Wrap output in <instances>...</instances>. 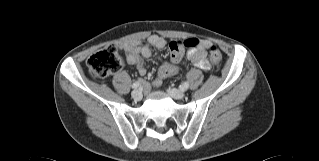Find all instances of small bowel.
<instances>
[{
  "instance_id": "1",
  "label": "small bowel",
  "mask_w": 319,
  "mask_h": 161,
  "mask_svg": "<svg viewBox=\"0 0 319 161\" xmlns=\"http://www.w3.org/2000/svg\"><path fill=\"white\" fill-rule=\"evenodd\" d=\"M210 46V42L202 40L199 46L187 52L186 60L197 68L209 69L211 64L206 58V49ZM151 47L163 49L166 47V41L159 35H152L145 43L125 42L118 45L120 50L126 53V63L135 66L140 75L145 76L148 73L147 67L143 62V58H149L152 55ZM160 59V58H159ZM176 65H164L161 67L159 77L153 82L154 85L161 83V78L177 73Z\"/></svg>"
}]
</instances>
